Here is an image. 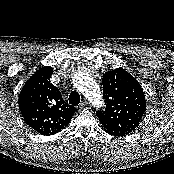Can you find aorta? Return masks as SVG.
Returning <instances> with one entry per match:
<instances>
[{
	"label": "aorta",
	"instance_id": "obj_1",
	"mask_svg": "<svg viewBox=\"0 0 174 174\" xmlns=\"http://www.w3.org/2000/svg\"><path fill=\"white\" fill-rule=\"evenodd\" d=\"M72 81L76 88L88 98L94 107L100 108L103 106L100 90L89 74L77 72L73 75Z\"/></svg>",
	"mask_w": 174,
	"mask_h": 174
}]
</instances>
